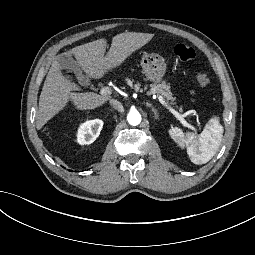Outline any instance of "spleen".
Returning a JSON list of instances; mask_svg holds the SVG:
<instances>
[{
  "label": "spleen",
  "instance_id": "1",
  "mask_svg": "<svg viewBox=\"0 0 255 255\" xmlns=\"http://www.w3.org/2000/svg\"><path fill=\"white\" fill-rule=\"evenodd\" d=\"M171 136L181 140L184 134L181 129L174 128L171 130ZM222 137L223 127L218 122L212 123L200 137L193 139V148L188 150L191 161L194 164H205L210 161L217 152Z\"/></svg>",
  "mask_w": 255,
  "mask_h": 255
}]
</instances>
